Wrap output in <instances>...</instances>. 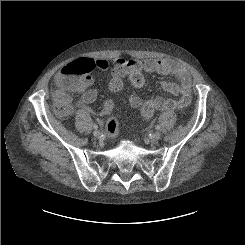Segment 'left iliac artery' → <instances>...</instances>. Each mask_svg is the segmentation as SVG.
<instances>
[{
    "mask_svg": "<svg viewBox=\"0 0 245 245\" xmlns=\"http://www.w3.org/2000/svg\"><path fill=\"white\" fill-rule=\"evenodd\" d=\"M155 129H156V130H159V129H160V125H156V126H155Z\"/></svg>",
    "mask_w": 245,
    "mask_h": 245,
    "instance_id": "left-iliac-artery-1",
    "label": "left iliac artery"
}]
</instances>
